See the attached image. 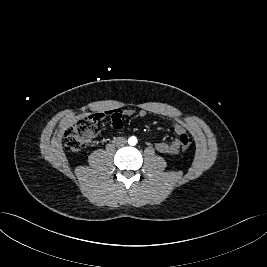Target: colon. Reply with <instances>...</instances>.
<instances>
[{"label":"colon","mask_w":267,"mask_h":267,"mask_svg":"<svg viewBox=\"0 0 267 267\" xmlns=\"http://www.w3.org/2000/svg\"><path fill=\"white\" fill-rule=\"evenodd\" d=\"M103 114H91L78 119L64 133V147L69 152H78L87 146L99 133ZM181 147L187 150L192 138L183 133L179 135Z\"/></svg>","instance_id":"colon-1"}]
</instances>
